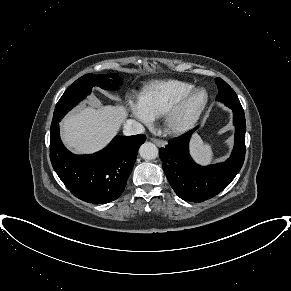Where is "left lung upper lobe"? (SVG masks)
<instances>
[{
  "label": "left lung upper lobe",
  "mask_w": 291,
  "mask_h": 291,
  "mask_svg": "<svg viewBox=\"0 0 291 291\" xmlns=\"http://www.w3.org/2000/svg\"><path fill=\"white\" fill-rule=\"evenodd\" d=\"M216 84L218 86L219 93L216 99L223 102L231 109L237 107L242 108L240 101L234 92V90L222 79L216 78Z\"/></svg>",
  "instance_id": "obj_1"
}]
</instances>
